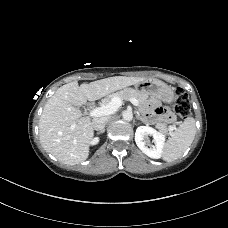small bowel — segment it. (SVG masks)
Masks as SVG:
<instances>
[{
    "instance_id": "small-bowel-1",
    "label": "small bowel",
    "mask_w": 228,
    "mask_h": 228,
    "mask_svg": "<svg viewBox=\"0 0 228 228\" xmlns=\"http://www.w3.org/2000/svg\"><path fill=\"white\" fill-rule=\"evenodd\" d=\"M167 112L165 109H163L162 107H160L159 105H155L152 109V111L150 112V116L151 117H158V118H163L166 120L167 117Z\"/></svg>"
}]
</instances>
